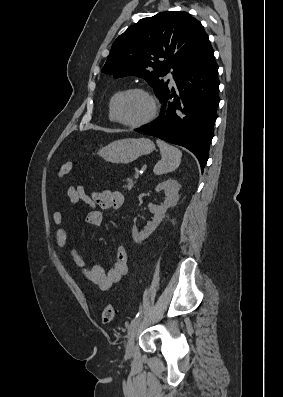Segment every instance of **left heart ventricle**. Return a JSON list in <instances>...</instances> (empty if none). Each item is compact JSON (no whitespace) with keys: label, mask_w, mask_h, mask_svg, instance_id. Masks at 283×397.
<instances>
[{"label":"left heart ventricle","mask_w":283,"mask_h":397,"mask_svg":"<svg viewBox=\"0 0 283 397\" xmlns=\"http://www.w3.org/2000/svg\"><path fill=\"white\" fill-rule=\"evenodd\" d=\"M151 110L146 96L141 93H128L117 102V114L126 122H137L145 118Z\"/></svg>","instance_id":"obj_1"}]
</instances>
